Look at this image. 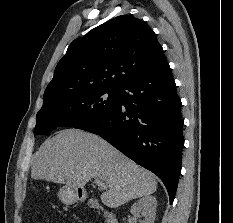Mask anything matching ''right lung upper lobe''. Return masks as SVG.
I'll return each instance as SVG.
<instances>
[{"label":"right lung upper lobe","instance_id":"cb5924a9","mask_svg":"<svg viewBox=\"0 0 233 223\" xmlns=\"http://www.w3.org/2000/svg\"><path fill=\"white\" fill-rule=\"evenodd\" d=\"M166 63L162 46L145 22L118 16L70 44L45 90L43 104L98 87L120 89Z\"/></svg>","mask_w":233,"mask_h":223}]
</instances>
